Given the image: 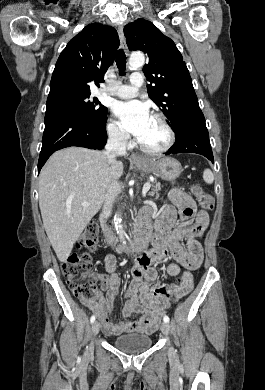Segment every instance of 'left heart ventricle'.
<instances>
[{
  "mask_svg": "<svg viewBox=\"0 0 265 390\" xmlns=\"http://www.w3.org/2000/svg\"><path fill=\"white\" fill-rule=\"evenodd\" d=\"M167 139V134L162 125L151 117L149 124L139 138L140 142L149 148L161 147Z\"/></svg>",
  "mask_w": 265,
  "mask_h": 390,
  "instance_id": "left-heart-ventricle-1",
  "label": "left heart ventricle"
}]
</instances>
